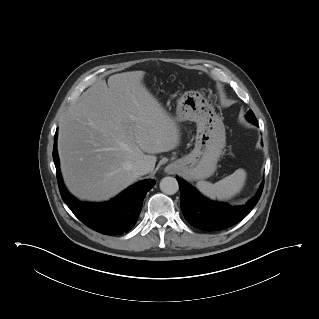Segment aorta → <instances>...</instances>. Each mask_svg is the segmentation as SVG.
Segmentation results:
<instances>
[{"mask_svg": "<svg viewBox=\"0 0 319 319\" xmlns=\"http://www.w3.org/2000/svg\"><path fill=\"white\" fill-rule=\"evenodd\" d=\"M178 189L179 185L174 177H164L160 181V190L167 195L175 194L178 191Z\"/></svg>", "mask_w": 319, "mask_h": 319, "instance_id": "762f6f07", "label": "aorta"}]
</instances>
